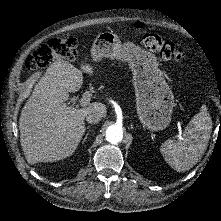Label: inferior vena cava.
<instances>
[{
	"mask_svg": "<svg viewBox=\"0 0 221 221\" xmlns=\"http://www.w3.org/2000/svg\"><path fill=\"white\" fill-rule=\"evenodd\" d=\"M103 116H104V113H102V112L92 111L89 114L85 115V119L89 123L94 124V123L100 122L102 120Z\"/></svg>",
	"mask_w": 221,
	"mask_h": 221,
	"instance_id": "602c4592",
	"label": "inferior vena cava"
}]
</instances>
